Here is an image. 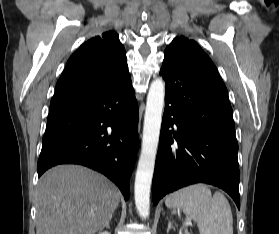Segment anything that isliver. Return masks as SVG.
Segmentation results:
<instances>
[{"label":"liver","instance_id":"liver-1","mask_svg":"<svg viewBox=\"0 0 279 234\" xmlns=\"http://www.w3.org/2000/svg\"><path fill=\"white\" fill-rule=\"evenodd\" d=\"M106 177L77 165L48 170L38 183L36 234H95L120 202Z\"/></svg>","mask_w":279,"mask_h":234}]
</instances>
